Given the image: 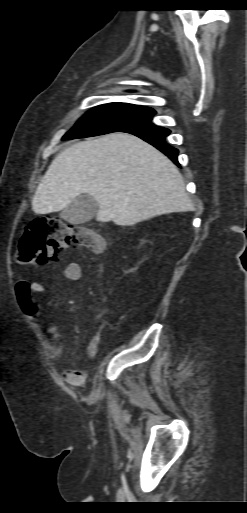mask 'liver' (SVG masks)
Instances as JSON below:
<instances>
[{
  "instance_id": "1",
  "label": "liver",
  "mask_w": 247,
  "mask_h": 513,
  "mask_svg": "<svg viewBox=\"0 0 247 513\" xmlns=\"http://www.w3.org/2000/svg\"><path fill=\"white\" fill-rule=\"evenodd\" d=\"M92 196L96 220L131 226L193 206L177 167L137 136L111 133L69 146L51 162L32 199L36 214L59 212Z\"/></svg>"
}]
</instances>
